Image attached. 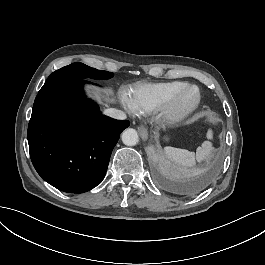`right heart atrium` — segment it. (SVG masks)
I'll list each match as a JSON object with an SVG mask.
<instances>
[{
    "instance_id": "d8ad5b80",
    "label": "right heart atrium",
    "mask_w": 265,
    "mask_h": 265,
    "mask_svg": "<svg viewBox=\"0 0 265 265\" xmlns=\"http://www.w3.org/2000/svg\"><path fill=\"white\" fill-rule=\"evenodd\" d=\"M120 109L124 115H130L132 113V108L128 104L127 94L125 92H120L118 94Z\"/></svg>"
}]
</instances>
